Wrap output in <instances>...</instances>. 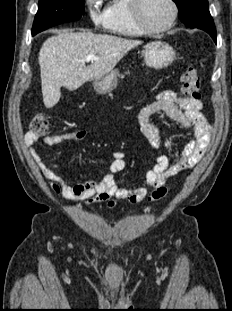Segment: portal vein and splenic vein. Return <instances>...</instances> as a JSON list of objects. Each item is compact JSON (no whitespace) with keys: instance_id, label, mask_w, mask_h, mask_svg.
Here are the masks:
<instances>
[{"instance_id":"obj_1","label":"portal vein and splenic vein","mask_w":232,"mask_h":311,"mask_svg":"<svg viewBox=\"0 0 232 311\" xmlns=\"http://www.w3.org/2000/svg\"><path fill=\"white\" fill-rule=\"evenodd\" d=\"M98 61L99 60V57H97L96 55L94 54H89L85 57V61Z\"/></svg>"}]
</instances>
